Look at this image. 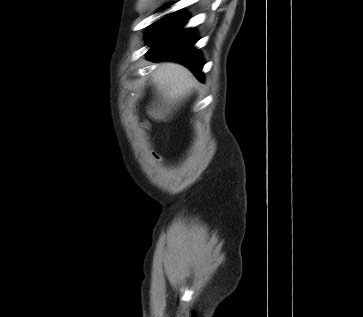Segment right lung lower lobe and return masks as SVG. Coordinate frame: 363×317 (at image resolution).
<instances>
[{
	"label": "right lung lower lobe",
	"mask_w": 363,
	"mask_h": 317,
	"mask_svg": "<svg viewBox=\"0 0 363 317\" xmlns=\"http://www.w3.org/2000/svg\"><path fill=\"white\" fill-rule=\"evenodd\" d=\"M187 18L181 13H172L160 19L150 30L148 51L151 60L172 59L188 66L200 81L203 61L193 45L197 38L192 29H183Z\"/></svg>",
	"instance_id": "98d812e1"
}]
</instances>
